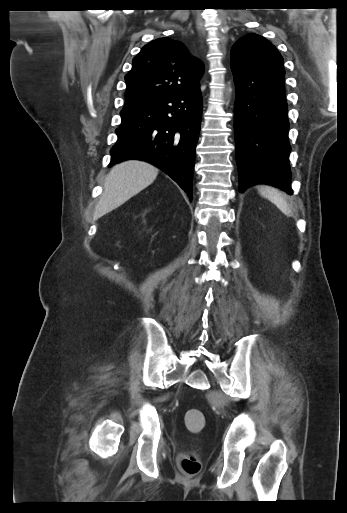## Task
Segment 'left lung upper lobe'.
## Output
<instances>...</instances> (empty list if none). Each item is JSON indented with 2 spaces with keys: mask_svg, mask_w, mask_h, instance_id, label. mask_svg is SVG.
Here are the masks:
<instances>
[{
  "mask_svg": "<svg viewBox=\"0 0 347 513\" xmlns=\"http://www.w3.org/2000/svg\"><path fill=\"white\" fill-rule=\"evenodd\" d=\"M231 66L257 73L285 74L283 58L279 52L269 41L257 34H248L233 45Z\"/></svg>",
  "mask_w": 347,
  "mask_h": 513,
  "instance_id": "left-lung-upper-lobe-1",
  "label": "left lung upper lobe"
}]
</instances>
